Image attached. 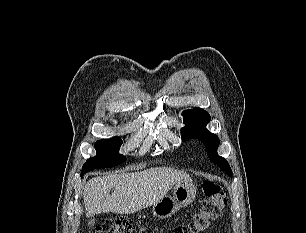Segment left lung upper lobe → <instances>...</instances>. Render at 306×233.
<instances>
[{"instance_id": "1", "label": "left lung upper lobe", "mask_w": 306, "mask_h": 233, "mask_svg": "<svg viewBox=\"0 0 306 233\" xmlns=\"http://www.w3.org/2000/svg\"><path fill=\"white\" fill-rule=\"evenodd\" d=\"M184 123L186 126L181 130L183 140L189 138H198L207 148L209 159L217 164L229 176H232V170L225 158H222L217 153L219 146V138L206 129L211 117L207 111L201 108H194L183 112Z\"/></svg>"}]
</instances>
